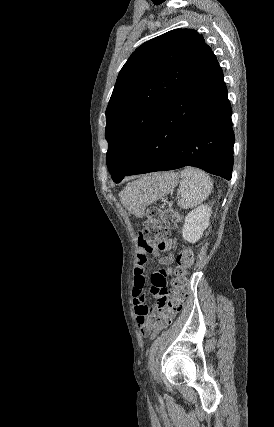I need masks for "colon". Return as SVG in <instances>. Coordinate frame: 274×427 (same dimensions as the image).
<instances>
[{
  "label": "colon",
  "instance_id": "5ec220e1",
  "mask_svg": "<svg viewBox=\"0 0 274 427\" xmlns=\"http://www.w3.org/2000/svg\"><path fill=\"white\" fill-rule=\"evenodd\" d=\"M178 215L169 209L160 207H151L146 212V218L140 231V236H146L149 246L159 244L164 240H168L169 229L177 223ZM195 254L190 248L181 252L176 270L173 272L172 288L169 294V301L166 306L162 307V311H154L150 320L153 323L154 332L151 334V339L158 340L159 334L168 328L167 314H178L183 311L184 302L188 297L187 289V272L193 264ZM165 314V315H164Z\"/></svg>",
  "mask_w": 274,
  "mask_h": 427
}]
</instances>
